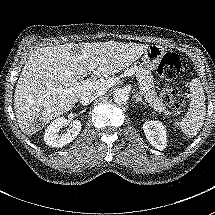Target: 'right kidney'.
Segmentation results:
<instances>
[{"mask_svg": "<svg viewBox=\"0 0 215 215\" xmlns=\"http://www.w3.org/2000/svg\"><path fill=\"white\" fill-rule=\"evenodd\" d=\"M68 125L69 128L64 133H60V130ZM81 127L79 120H74L70 123L65 117L56 118L47 126L44 141L51 147H64L79 135Z\"/></svg>", "mask_w": 215, "mask_h": 215, "instance_id": "ca27d5eb", "label": "right kidney"}]
</instances>
